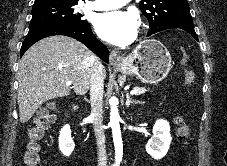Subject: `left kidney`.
<instances>
[{"label":"left kidney","instance_id":"1","mask_svg":"<svg viewBox=\"0 0 227 166\" xmlns=\"http://www.w3.org/2000/svg\"><path fill=\"white\" fill-rule=\"evenodd\" d=\"M171 141L168 121L157 120L153 126V137L146 144V151L152 158L159 160L167 154Z\"/></svg>","mask_w":227,"mask_h":166}]
</instances>
